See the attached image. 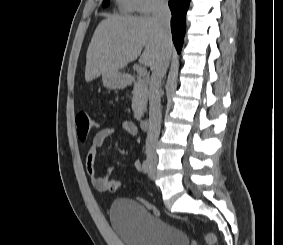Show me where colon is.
I'll use <instances>...</instances> for the list:
<instances>
[{
    "instance_id": "colon-1",
    "label": "colon",
    "mask_w": 283,
    "mask_h": 245,
    "mask_svg": "<svg viewBox=\"0 0 283 245\" xmlns=\"http://www.w3.org/2000/svg\"><path fill=\"white\" fill-rule=\"evenodd\" d=\"M77 135L81 141H86L91 131L96 127V123L87 112H80L75 118ZM120 187V180L113 178L109 182V192H115ZM148 209L152 210L154 214L159 215L158 210L148 201H142ZM204 240L208 245H217V237L213 233H206Z\"/></svg>"
}]
</instances>
